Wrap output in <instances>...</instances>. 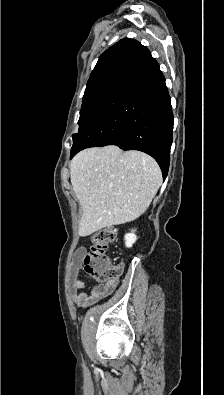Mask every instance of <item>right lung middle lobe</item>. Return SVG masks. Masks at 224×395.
<instances>
[{
    "label": "right lung middle lobe",
    "mask_w": 224,
    "mask_h": 395,
    "mask_svg": "<svg viewBox=\"0 0 224 395\" xmlns=\"http://www.w3.org/2000/svg\"><path fill=\"white\" fill-rule=\"evenodd\" d=\"M120 70H115L106 73L94 80L88 81L87 87L83 96L82 109L80 111V119L78 121V133L73 135V144L83 132L89 118L98 108L105 96L112 88L116 81Z\"/></svg>",
    "instance_id": "dd1d6c3e"
}]
</instances>
